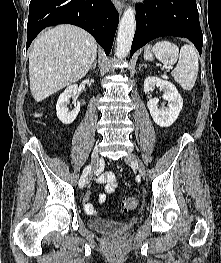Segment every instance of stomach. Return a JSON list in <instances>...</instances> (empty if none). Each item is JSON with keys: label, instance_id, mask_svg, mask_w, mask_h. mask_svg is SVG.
<instances>
[{"label": "stomach", "instance_id": "0dacf381", "mask_svg": "<svg viewBox=\"0 0 221 263\" xmlns=\"http://www.w3.org/2000/svg\"><path fill=\"white\" fill-rule=\"evenodd\" d=\"M145 58L148 59V60H151L152 59V55L149 51V48L145 51Z\"/></svg>", "mask_w": 221, "mask_h": 263}]
</instances>
